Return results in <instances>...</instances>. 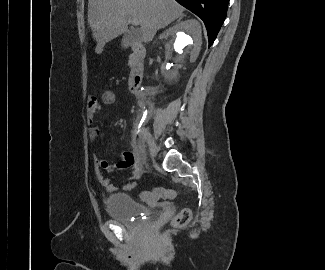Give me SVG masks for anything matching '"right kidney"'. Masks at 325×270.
I'll list each match as a JSON object with an SVG mask.
<instances>
[{
	"label": "right kidney",
	"mask_w": 325,
	"mask_h": 270,
	"mask_svg": "<svg viewBox=\"0 0 325 270\" xmlns=\"http://www.w3.org/2000/svg\"><path fill=\"white\" fill-rule=\"evenodd\" d=\"M160 38L166 42L164 61L160 62L158 69L168 82L173 83L199 55L202 44L201 26L193 19L183 21L166 30Z\"/></svg>",
	"instance_id": "right-kidney-1"
}]
</instances>
